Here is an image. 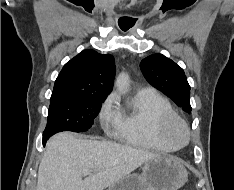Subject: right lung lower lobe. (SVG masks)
Segmentation results:
<instances>
[{
	"mask_svg": "<svg viewBox=\"0 0 234 190\" xmlns=\"http://www.w3.org/2000/svg\"><path fill=\"white\" fill-rule=\"evenodd\" d=\"M49 138H43V145H45L46 141L48 140Z\"/></svg>",
	"mask_w": 234,
	"mask_h": 190,
	"instance_id": "1",
	"label": "right lung lower lobe"
}]
</instances>
